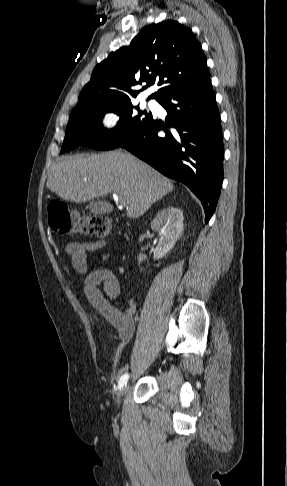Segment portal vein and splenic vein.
<instances>
[{"label":"portal vein and splenic vein","instance_id":"portal-vein-and-splenic-vein-1","mask_svg":"<svg viewBox=\"0 0 287 486\" xmlns=\"http://www.w3.org/2000/svg\"><path fill=\"white\" fill-rule=\"evenodd\" d=\"M118 201H119V203H120L121 205H126V204H127V200H126V199H124V198H120V197H119Z\"/></svg>","mask_w":287,"mask_h":486}]
</instances>
